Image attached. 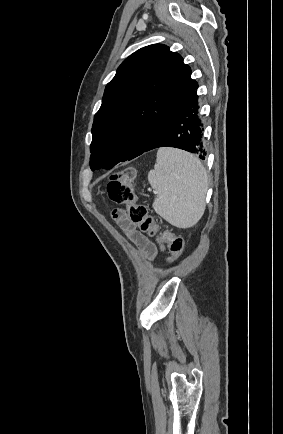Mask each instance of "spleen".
<instances>
[{"mask_svg":"<svg viewBox=\"0 0 283 434\" xmlns=\"http://www.w3.org/2000/svg\"><path fill=\"white\" fill-rule=\"evenodd\" d=\"M148 181L156 194L153 209L170 224L190 228L201 219L208 177L197 157L178 149L161 148Z\"/></svg>","mask_w":283,"mask_h":434,"instance_id":"obj_1","label":"spleen"}]
</instances>
